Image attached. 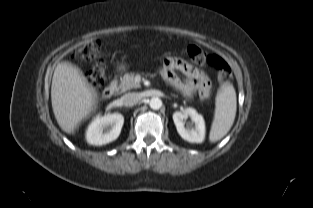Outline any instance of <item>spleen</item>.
<instances>
[{
	"instance_id": "3e777b00",
	"label": "spleen",
	"mask_w": 313,
	"mask_h": 208,
	"mask_svg": "<svg viewBox=\"0 0 313 208\" xmlns=\"http://www.w3.org/2000/svg\"><path fill=\"white\" fill-rule=\"evenodd\" d=\"M237 110L236 92L232 85H224L217 93L214 121L211 126L209 140L216 142L231 129Z\"/></svg>"
}]
</instances>
